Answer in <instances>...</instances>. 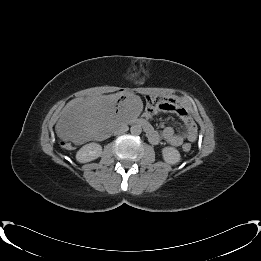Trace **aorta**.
<instances>
[{
  "label": "aorta",
  "instance_id": "obj_1",
  "mask_svg": "<svg viewBox=\"0 0 261 261\" xmlns=\"http://www.w3.org/2000/svg\"><path fill=\"white\" fill-rule=\"evenodd\" d=\"M130 132H131L132 135L137 136V135L141 134L142 128H141L140 125H137V124L136 125H132L131 128H130Z\"/></svg>",
  "mask_w": 261,
  "mask_h": 261
}]
</instances>
